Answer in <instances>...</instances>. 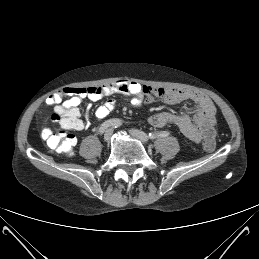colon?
<instances>
[{
  "instance_id": "5ec220e1",
  "label": "colon",
  "mask_w": 259,
  "mask_h": 259,
  "mask_svg": "<svg viewBox=\"0 0 259 259\" xmlns=\"http://www.w3.org/2000/svg\"><path fill=\"white\" fill-rule=\"evenodd\" d=\"M51 119L54 122H58L64 128L63 130L52 131L50 129H45L46 132V142L48 146L56 150L60 154L71 156L74 152V147L76 144V139L74 135L67 132L65 125L67 121L64 119L59 111H54L51 114ZM216 145V130L215 123L208 124L206 127L205 138L203 141V147L206 151L214 150Z\"/></svg>"
}]
</instances>
